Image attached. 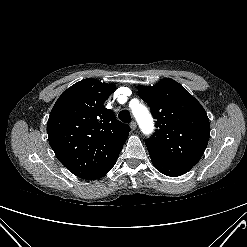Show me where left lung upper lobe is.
I'll return each mask as SVG.
<instances>
[{
    "instance_id": "1",
    "label": "left lung upper lobe",
    "mask_w": 247,
    "mask_h": 247,
    "mask_svg": "<svg viewBox=\"0 0 247 247\" xmlns=\"http://www.w3.org/2000/svg\"><path fill=\"white\" fill-rule=\"evenodd\" d=\"M139 96L157 120L155 134L146 140L148 151L168 160L196 165L210 137V124L201 104L179 83L162 79L140 86Z\"/></svg>"
}]
</instances>
